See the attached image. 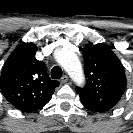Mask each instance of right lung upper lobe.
<instances>
[{
  "instance_id": "cb5924a9",
  "label": "right lung upper lobe",
  "mask_w": 133,
  "mask_h": 133,
  "mask_svg": "<svg viewBox=\"0 0 133 133\" xmlns=\"http://www.w3.org/2000/svg\"><path fill=\"white\" fill-rule=\"evenodd\" d=\"M36 51L31 42L19 45L6 60L0 77L4 97L23 112L42 108L59 86L48 77L45 63L35 58Z\"/></svg>"
}]
</instances>
